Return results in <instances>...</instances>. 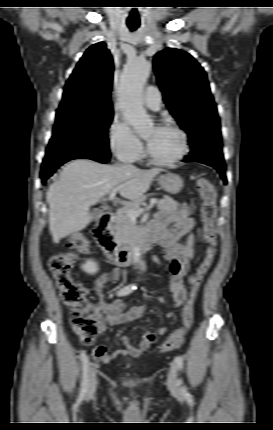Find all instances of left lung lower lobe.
Returning <instances> with one entry per match:
<instances>
[{"mask_svg":"<svg viewBox=\"0 0 273 430\" xmlns=\"http://www.w3.org/2000/svg\"><path fill=\"white\" fill-rule=\"evenodd\" d=\"M189 155L182 160L184 162L197 161L214 167L220 173L224 183H227L225 164L221 152V139L204 136L202 140L191 146Z\"/></svg>","mask_w":273,"mask_h":430,"instance_id":"1","label":"left lung lower lobe"}]
</instances>
